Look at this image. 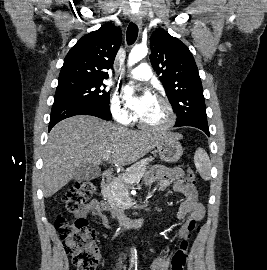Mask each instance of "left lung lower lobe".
Segmentation results:
<instances>
[{
  "instance_id": "left-lung-lower-lobe-1",
  "label": "left lung lower lobe",
  "mask_w": 267,
  "mask_h": 270,
  "mask_svg": "<svg viewBox=\"0 0 267 270\" xmlns=\"http://www.w3.org/2000/svg\"><path fill=\"white\" fill-rule=\"evenodd\" d=\"M176 127H180V126H191V127H196L202 131H204L207 136L210 135L209 133V127H208V123H204V122H200V121H191V122H186V123H183V124H179V125H176Z\"/></svg>"
}]
</instances>
